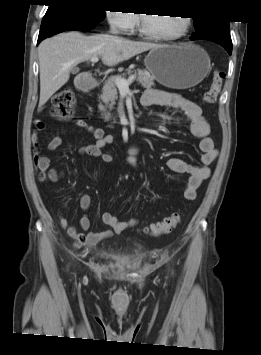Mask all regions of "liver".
<instances>
[{
    "instance_id": "obj_1",
    "label": "liver",
    "mask_w": 261,
    "mask_h": 355,
    "mask_svg": "<svg viewBox=\"0 0 261 355\" xmlns=\"http://www.w3.org/2000/svg\"><path fill=\"white\" fill-rule=\"evenodd\" d=\"M160 46L108 34L85 36L76 31L62 33L42 41L38 47L39 108L67 83L70 71L79 63L92 57H101L105 65L115 66L144 51Z\"/></svg>"
}]
</instances>
